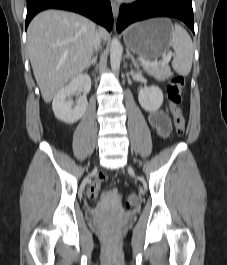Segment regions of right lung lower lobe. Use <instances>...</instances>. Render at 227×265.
I'll return each instance as SVG.
<instances>
[{
	"instance_id": "98d812e1",
	"label": "right lung lower lobe",
	"mask_w": 227,
	"mask_h": 265,
	"mask_svg": "<svg viewBox=\"0 0 227 265\" xmlns=\"http://www.w3.org/2000/svg\"><path fill=\"white\" fill-rule=\"evenodd\" d=\"M50 8L80 13L109 31L113 27L111 5L107 0H27L26 29L38 12Z\"/></svg>"
}]
</instances>
